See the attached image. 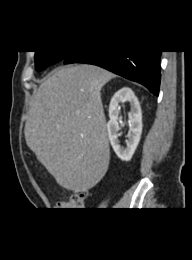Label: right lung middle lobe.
I'll use <instances>...</instances> for the list:
<instances>
[{
    "instance_id": "dd1d6c3e",
    "label": "right lung middle lobe",
    "mask_w": 192,
    "mask_h": 260,
    "mask_svg": "<svg viewBox=\"0 0 192 260\" xmlns=\"http://www.w3.org/2000/svg\"><path fill=\"white\" fill-rule=\"evenodd\" d=\"M69 51H35V68L41 71L48 66L63 61L69 54Z\"/></svg>"
}]
</instances>
